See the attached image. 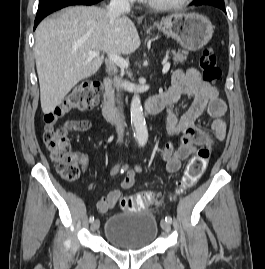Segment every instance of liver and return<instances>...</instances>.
I'll return each mask as SVG.
<instances>
[{
	"instance_id": "6515ba94",
	"label": "liver",
	"mask_w": 265,
	"mask_h": 269,
	"mask_svg": "<svg viewBox=\"0 0 265 269\" xmlns=\"http://www.w3.org/2000/svg\"><path fill=\"white\" fill-rule=\"evenodd\" d=\"M139 46L133 22L120 16L111 24L100 7H69L44 19L35 31L34 46L43 113L52 112L77 83L94 75L104 53L128 55ZM89 51L99 56L91 58Z\"/></svg>"
}]
</instances>
